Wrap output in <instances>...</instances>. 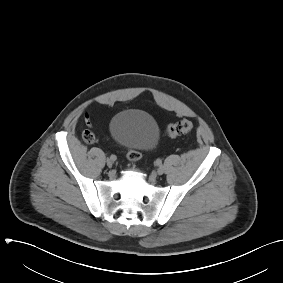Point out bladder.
<instances>
[{"mask_svg": "<svg viewBox=\"0 0 283 283\" xmlns=\"http://www.w3.org/2000/svg\"><path fill=\"white\" fill-rule=\"evenodd\" d=\"M109 131L117 144L135 151L153 150L160 138L154 117L139 109H127L115 114L110 121Z\"/></svg>", "mask_w": 283, "mask_h": 283, "instance_id": "1", "label": "bladder"}]
</instances>
